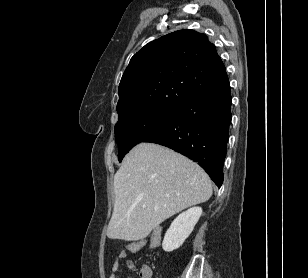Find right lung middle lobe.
<instances>
[{
    "mask_svg": "<svg viewBox=\"0 0 308 278\" xmlns=\"http://www.w3.org/2000/svg\"><path fill=\"white\" fill-rule=\"evenodd\" d=\"M178 114V107H155L135 112L115 125L118 158L123 159L136 144L169 124Z\"/></svg>",
    "mask_w": 308,
    "mask_h": 278,
    "instance_id": "dd1d6c3e",
    "label": "right lung middle lobe"
}]
</instances>
